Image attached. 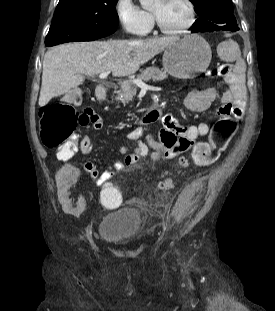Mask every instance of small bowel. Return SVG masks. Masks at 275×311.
<instances>
[{"instance_id":"obj_1","label":"small bowel","mask_w":275,"mask_h":311,"mask_svg":"<svg viewBox=\"0 0 275 311\" xmlns=\"http://www.w3.org/2000/svg\"><path fill=\"white\" fill-rule=\"evenodd\" d=\"M219 57H233L235 65L232 74L227 78L228 89L220 96L214 87L196 90L188 94L185 105L191 112H205L212 110L214 115L237 120L242 116L246 89L244 84V61L240 58V50L237 43L225 41L218 46ZM146 119V126H160L157 135L154 136L142 125L129 132L128 138L134 143V153L127 154V148L120 146L118 152L125 157L113 162L102 173H99L96 166L91 161H85L84 170L93 176L96 183H109L113 175L124 167L134 163L140 157L149 156L153 160L161 158H174L191 147V142L209 134L211 130L210 122H199L197 124L182 125L171 115L161 118L160 113L152 111ZM101 118L94 113L92 121L87 125L98 130L102 127ZM82 153L88 154L92 149L89 137H84L82 142ZM62 159V158H60ZM66 160V159H62ZM75 162L66 164L65 169H57L58 185L61 194H58V201H62L59 206V213L66 216H83V205L85 199L82 197L83 187H74L75 176H82V169H75ZM69 171V172H68ZM76 198V199H75ZM113 207V206H110Z\"/></svg>"}]
</instances>
